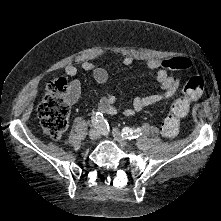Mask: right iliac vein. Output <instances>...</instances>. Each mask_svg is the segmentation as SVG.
I'll return each mask as SVG.
<instances>
[{
    "label": "right iliac vein",
    "instance_id": "obj_1",
    "mask_svg": "<svg viewBox=\"0 0 221 221\" xmlns=\"http://www.w3.org/2000/svg\"><path fill=\"white\" fill-rule=\"evenodd\" d=\"M99 131L97 129H91L89 132V138L90 140H96L99 138Z\"/></svg>",
    "mask_w": 221,
    "mask_h": 221
}]
</instances>
